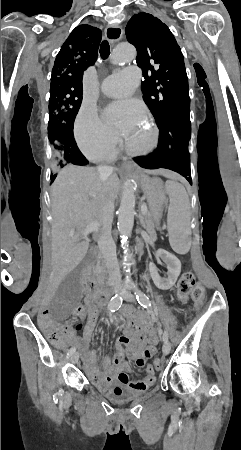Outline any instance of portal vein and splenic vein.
<instances>
[{
	"label": "portal vein and splenic vein",
	"instance_id": "1",
	"mask_svg": "<svg viewBox=\"0 0 241 450\" xmlns=\"http://www.w3.org/2000/svg\"><path fill=\"white\" fill-rule=\"evenodd\" d=\"M162 207V206H161ZM146 204H141V211L140 216H145V213H147ZM100 224H91V226H88V228H85L83 232V236H88V234H91V232H98ZM70 236H74V234H70Z\"/></svg>",
	"mask_w": 241,
	"mask_h": 450
}]
</instances>
